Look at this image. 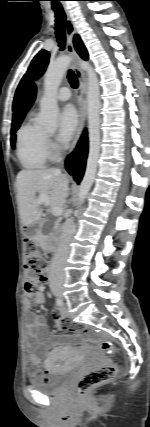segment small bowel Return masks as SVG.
Here are the masks:
<instances>
[{
    "mask_svg": "<svg viewBox=\"0 0 150 427\" xmlns=\"http://www.w3.org/2000/svg\"><path fill=\"white\" fill-rule=\"evenodd\" d=\"M28 298L29 308L44 302V294L41 290L30 294ZM64 315L65 312L61 308L54 311L53 316L56 326L61 327V330L66 331L67 334H74L78 327L77 324L73 319L64 318ZM26 336V347L32 365V368L29 370V376L33 379L45 378V374L41 373L38 368L41 360L39 352H46L48 349L56 346L70 348L81 344L79 336L51 334L45 317L34 312H29L27 315ZM55 358V355H49L45 360V366H49Z\"/></svg>",
    "mask_w": 150,
    "mask_h": 427,
    "instance_id": "1",
    "label": "small bowel"
}]
</instances>
